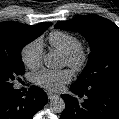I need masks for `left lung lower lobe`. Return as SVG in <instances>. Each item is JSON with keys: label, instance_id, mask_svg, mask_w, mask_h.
Returning <instances> with one entry per match:
<instances>
[{"label": "left lung lower lobe", "instance_id": "0a47b994", "mask_svg": "<svg viewBox=\"0 0 119 119\" xmlns=\"http://www.w3.org/2000/svg\"><path fill=\"white\" fill-rule=\"evenodd\" d=\"M80 97L86 95L79 103L75 97L63 94L66 108L60 119H119V87L92 86L86 89L70 87Z\"/></svg>", "mask_w": 119, "mask_h": 119}]
</instances>
